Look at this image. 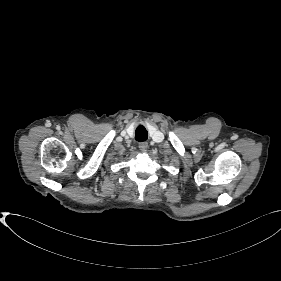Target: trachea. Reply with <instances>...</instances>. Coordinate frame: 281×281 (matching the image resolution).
<instances>
[{
	"label": "trachea",
	"instance_id": "trachea-1",
	"mask_svg": "<svg viewBox=\"0 0 281 281\" xmlns=\"http://www.w3.org/2000/svg\"><path fill=\"white\" fill-rule=\"evenodd\" d=\"M135 139L139 142L146 141L148 139V132L144 126L140 125L135 130Z\"/></svg>",
	"mask_w": 281,
	"mask_h": 281
}]
</instances>
